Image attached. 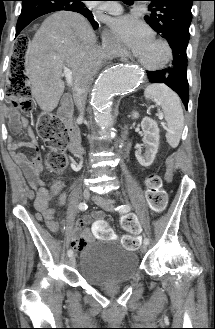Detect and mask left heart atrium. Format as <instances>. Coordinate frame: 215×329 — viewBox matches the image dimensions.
<instances>
[{
  "mask_svg": "<svg viewBox=\"0 0 215 329\" xmlns=\"http://www.w3.org/2000/svg\"><path fill=\"white\" fill-rule=\"evenodd\" d=\"M110 26L116 38L136 54L153 41L150 28L134 16L125 15L113 18Z\"/></svg>",
  "mask_w": 215,
  "mask_h": 329,
  "instance_id": "39dd6f15",
  "label": "left heart atrium"
}]
</instances>
